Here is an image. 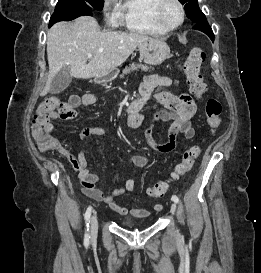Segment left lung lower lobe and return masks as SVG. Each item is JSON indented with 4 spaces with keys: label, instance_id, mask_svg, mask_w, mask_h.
I'll return each mask as SVG.
<instances>
[{
    "label": "left lung lower lobe",
    "instance_id": "left-lung-lower-lobe-1",
    "mask_svg": "<svg viewBox=\"0 0 261 273\" xmlns=\"http://www.w3.org/2000/svg\"><path fill=\"white\" fill-rule=\"evenodd\" d=\"M193 29H197V30H200L202 32H204L205 34H207L210 39L212 41H214V34H213V31L211 29V27L209 26L207 20H202L200 22H197L194 26H193Z\"/></svg>",
    "mask_w": 261,
    "mask_h": 273
}]
</instances>
